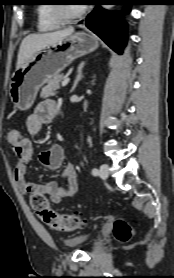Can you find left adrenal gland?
<instances>
[{
  "label": "left adrenal gland",
  "instance_id": "1",
  "mask_svg": "<svg viewBox=\"0 0 174 278\" xmlns=\"http://www.w3.org/2000/svg\"><path fill=\"white\" fill-rule=\"evenodd\" d=\"M84 65H85V62L83 61V62H81L80 65L78 66V68H77V76H76V79H75V81H74V84H73V86H72L70 92H73V91L75 90L77 84H78L79 81L83 78L82 69H83Z\"/></svg>",
  "mask_w": 174,
  "mask_h": 278
}]
</instances>
